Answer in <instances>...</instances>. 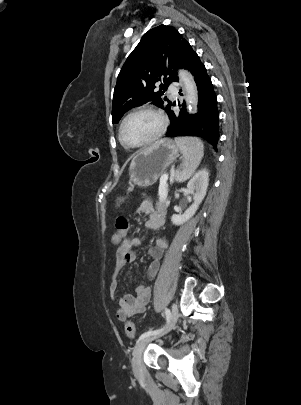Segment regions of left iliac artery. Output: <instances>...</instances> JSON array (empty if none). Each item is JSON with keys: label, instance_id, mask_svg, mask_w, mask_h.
Masks as SVG:
<instances>
[{"label": "left iliac artery", "instance_id": "1", "mask_svg": "<svg viewBox=\"0 0 301 405\" xmlns=\"http://www.w3.org/2000/svg\"><path fill=\"white\" fill-rule=\"evenodd\" d=\"M165 316H166V325L164 327H162L160 329H157V330H154V331L150 330V331H147V332L143 333L139 337L138 342L141 341L144 338H147V337L151 336V335H156V334L162 332L165 329V327L167 326V324H168V322H169V320L171 318V312H170L169 309H165Z\"/></svg>", "mask_w": 301, "mask_h": 405}]
</instances>
